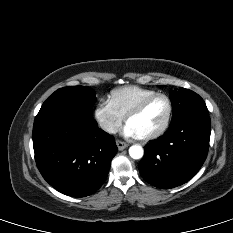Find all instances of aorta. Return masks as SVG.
Masks as SVG:
<instances>
[{"instance_id": "1", "label": "aorta", "mask_w": 233, "mask_h": 233, "mask_svg": "<svg viewBox=\"0 0 233 233\" xmlns=\"http://www.w3.org/2000/svg\"><path fill=\"white\" fill-rule=\"evenodd\" d=\"M129 155L133 159H141L144 155V150L139 145H133L129 148Z\"/></svg>"}]
</instances>
